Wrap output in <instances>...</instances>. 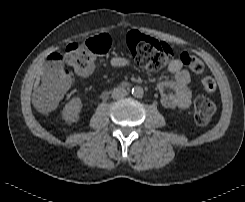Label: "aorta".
<instances>
[{
  "instance_id": "1",
  "label": "aorta",
  "mask_w": 245,
  "mask_h": 202,
  "mask_svg": "<svg viewBox=\"0 0 245 202\" xmlns=\"http://www.w3.org/2000/svg\"><path fill=\"white\" fill-rule=\"evenodd\" d=\"M144 94V90L141 86H135L132 88V95L137 98H141Z\"/></svg>"
}]
</instances>
